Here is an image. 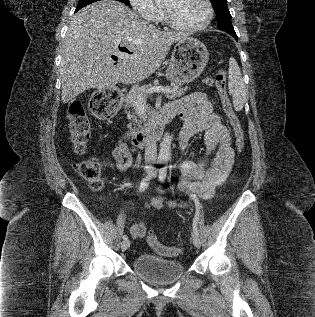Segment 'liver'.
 <instances>
[{
  "label": "liver",
  "instance_id": "6515ba94",
  "mask_svg": "<svg viewBox=\"0 0 315 317\" xmlns=\"http://www.w3.org/2000/svg\"><path fill=\"white\" fill-rule=\"evenodd\" d=\"M190 37L143 21L123 3L101 0L78 11L62 41L61 100L68 103L90 88L138 83L152 75L171 45ZM120 47L132 53L121 54ZM111 55L118 56L114 65Z\"/></svg>",
  "mask_w": 315,
  "mask_h": 317
}]
</instances>
